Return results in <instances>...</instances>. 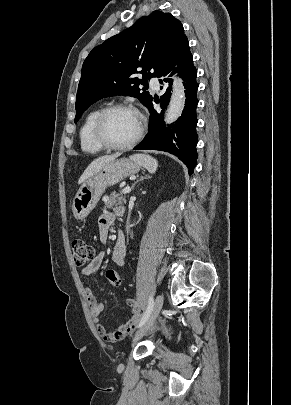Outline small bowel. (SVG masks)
<instances>
[{
  "label": "small bowel",
  "mask_w": 291,
  "mask_h": 405,
  "mask_svg": "<svg viewBox=\"0 0 291 405\" xmlns=\"http://www.w3.org/2000/svg\"><path fill=\"white\" fill-rule=\"evenodd\" d=\"M113 220L114 216L111 213H105L100 216L98 226L99 237L102 242L107 240L108 232ZM125 255L126 247L124 237L122 233H119L118 239L112 251V260L118 266H122L125 261ZM103 257V253H99L96 257H94L93 260L82 269V274L87 277L95 275V273L101 267ZM85 295L90 306L91 316L97 325L98 333L104 340L109 342H120L135 330L143 310L141 305L135 299L129 298L126 301L133 310V316L131 319L119 328L109 331L100 322V316L104 309L103 302L97 300L90 289H86Z\"/></svg>",
  "instance_id": "obj_1"
}]
</instances>
